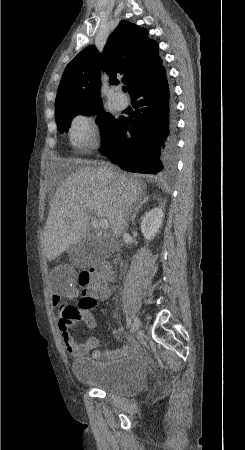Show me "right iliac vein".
<instances>
[{"label":"right iliac vein","instance_id":"right-iliac-vein-1","mask_svg":"<svg viewBox=\"0 0 245 450\" xmlns=\"http://www.w3.org/2000/svg\"><path fill=\"white\" fill-rule=\"evenodd\" d=\"M140 324L141 323H140L139 318L135 316L134 319H133L132 326H131V332L135 333L139 329Z\"/></svg>","mask_w":245,"mask_h":450}]
</instances>
